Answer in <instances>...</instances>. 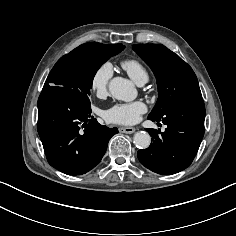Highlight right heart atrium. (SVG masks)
Listing matches in <instances>:
<instances>
[{"instance_id": "obj_1", "label": "right heart atrium", "mask_w": 236, "mask_h": 236, "mask_svg": "<svg viewBox=\"0 0 236 236\" xmlns=\"http://www.w3.org/2000/svg\"><path fill=\"white\" fill-rule=\"evenodd\" d=\"M113 69L110 63L105 62L98 66L90 79V88L97 96L106 94Z\"/></svg>"}]
</instances>
